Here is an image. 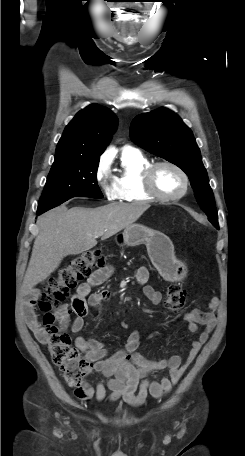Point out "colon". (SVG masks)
<instances>
[{"label": "colon", "instance_id": "obj_1", "mask_svg": "<svg viewBox=\"0 0 245 456\" xmlns=\"http://www.w3.org/2000/svg\"><path fill=\"white\" fill-rule=\"evenodd\" d=\"M106 256L100 248L83 252L68 261L45 286L39 308L43 314V324L48 334V349L53 360L61 370L65 381L71 386H79L91 372L92 363L81 358L73 346L71 338L59 326L65 315L63 301L78 283L89 275L94 267H103ZM186 300V293L179 285L169 286L164 301L165 307L173 312L179 311Z\"/></svg>", "mask_w": 245, "mask_h": 456}]
</instances>
